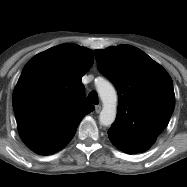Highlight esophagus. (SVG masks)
Masks as SVG:
<instances>
[{
    "instance_id": "34e87169",
    "label": "esophagus",
    "mask_w": 187,
    "mask_h": 187,
    "mask_svg": "<svg viewBox=\"0 0 187 187\" xmlns=\"http://www.w3.org/2000/svg\"><path fill=\"white\" fill-rule=\"evenodd\" d=\"M101 109H102L101 105L95 106L96 113H99L101 111Z\"/></svg>"
}]
</instances>
